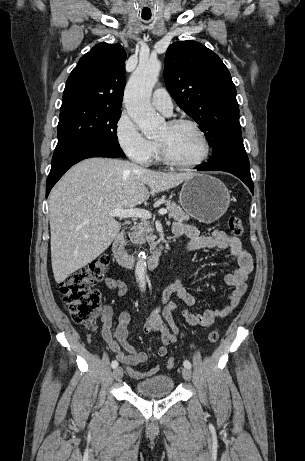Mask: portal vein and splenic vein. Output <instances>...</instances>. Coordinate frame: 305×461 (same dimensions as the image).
<instances>
[{
  "instance_id": "1",
  "label": "portal vein and splenic vein",
  "mask_w": 305,
  "mask_h": 461,
  "mask_svg": "<svg viewBox=\"0 0 305 461\" xmlns=\"http://www.w3.org/2000/svg\"><path fill=\"white\" fill-rule=\"evenodd\" d=\"M160 215L167 214L166 209H160ZM110 217H118V218H142V219H149L151 218V213L145 209L140 208H130V209H123L121 207L116 208L115 210L109 213Z\"/></svg>"
}]
</instances>
